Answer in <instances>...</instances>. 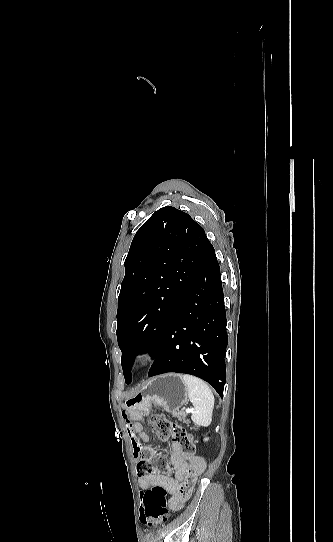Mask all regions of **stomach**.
Wrapping results in <instances>:
<instances>
[{
  "instance_id": "obj_1",
  "label": "stomach",
  "mask_w": 333,
  "mask_h": 542,
  "mask_svg": "<svg viewBox=\"0 0 333 542\" xmlns=\"http://www.w3.org/2000/svg\"><path fill=\"white\" fill-rule=\"evenodd\" d=\"M187 402V388L179 374H165L150 378L140 392L132 398H127L126 406L147 416L153 404L160 406L165 412H178Z\"/></svg>"
}]
</instances>
